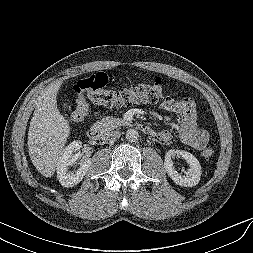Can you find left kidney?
<instances>
[{
	"label": "left kidney",
	"mask_w": 253,
	"mask_h": 253,
	"mask_svg": "<svg viewBox=\"0 0 253 253\" xmlns=\"http://www.w3.org/2000/svg\"><path fill=\"white\" fill-rule=\"evenodd\" d=\"M182 157L189 164L185 176L180 175L173 166L172 157ZM164 168L168 176L177 184L184 187H192L199 183L201 177V165L197 158L184 150H169L165 155Z\"/></svg>",
	"instance_id": "1"
}]
</instances>
